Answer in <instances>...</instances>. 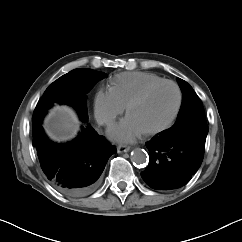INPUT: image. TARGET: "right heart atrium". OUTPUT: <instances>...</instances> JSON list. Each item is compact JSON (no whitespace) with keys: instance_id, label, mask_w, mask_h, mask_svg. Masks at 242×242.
<instances>
[{"instance_id":"obj_1","label":"right heart atrium","mask_w":242,"mask_h":242,"mask_svg":"<svg viewBox=\"0 0 242 242\" xmlns=\"http://www.w3.org/2000/svg\"><path fill=\"white\" fill-rule=\"evenodd\" d=\"M125 110V106L110 90H99L95 95L94 112L97 121L102 125H111Z\"/></svg>"}]
</instances>
